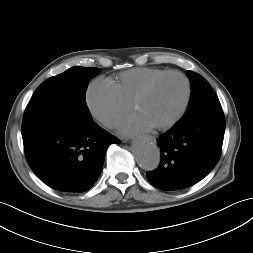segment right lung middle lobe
Returning <instances> with one entry per match:
<instances>
[{"instance_id": "obj_1", "label": "right lung middle lobe", "mask_w": 253, "mask_h": 253, "mask_svg": "<svg viewBox=\"0 0 253 253\" xmlns=\"http://www.w3.org/2000/svg\"><path fill=\"white\" fill-rule=\"evenodd\" d=\"M99 72V68L72 67L43 82L25 109L22 136L59 120H92L85 94L89 80Z\"/></svg>"}]
</instances>
